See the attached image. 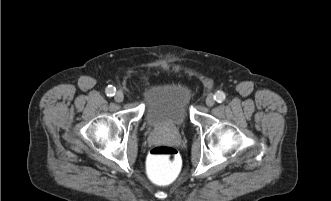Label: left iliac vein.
<instances>
[{"label":"left iliac vein","instance_id":"4c4485c4","mask_svg":"<svg viewBox=\"0 0 331 201\" xmlns=\"http://www.w3.org/2000/svg\"><path fill=\"white\" fill-rule=\"evenodd\" d=\"M215 104V99L213 97V94H209L206 98V105L208 107H212Z\"/></svg>","mask_w":331,"mask_h":201}]
</instances>
